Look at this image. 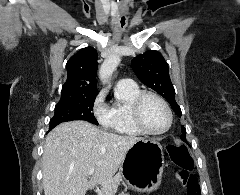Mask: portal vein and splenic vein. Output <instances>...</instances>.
Instances as JSON below:
<instances>
[{"instance_id":"1","label":"portal vein and splenic vein","mask_w":240,"mask_h":195,"mask_svg":"<svg viewBox=\"0 0 240 195\" xmlns=\"http://www.w3.org/2000/svg\"><path fill=\"white\" fill-rule=\"evenodd\" d=\"M94 171H95V167H91V169H89L90 175H91V173H94Z\"/></svg>"}]
</instances>
